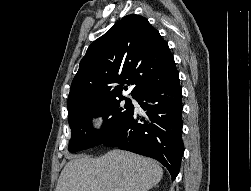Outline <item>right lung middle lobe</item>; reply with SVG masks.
I'll return each instance as SVG.
<instances>
[{"instance_id":"obj_1","label":"right lung middle lobe","mask_w":251,"mask_h":191,"mask_svg":"<svg viewBox=\"0 0 251 191\" xmlns=\"http://www.w3.org/2000/svg\"><path fill=\"white\" fill-rule=\"evenodd\" d=\"M122 100H126V103L122 104ZM133 111L134 106L128 98L69 108L68 121L72 135L68 150L73 153L100 145L129 119ZM98 116L104 119L100 131L92 126V118Z\"/></svg>"}]
</instances>
